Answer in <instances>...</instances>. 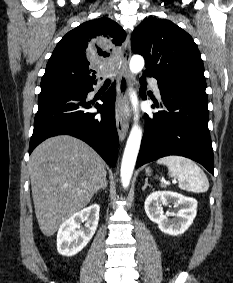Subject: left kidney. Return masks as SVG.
<instances>
[{
	"label": "left kidney",
	"instance_id": "1",
	"mask_svg": "<svg viewBox=\"0 0 233 283\" xmlns=\"http://www.w3.org/2000/svg\"><path fill=\"white\" fill-rule=\"evenodd\" d=\"M167 204L179 207L177 212L170 213L174 217L172 219L163 214L162 206ZM144 207L148 218L157 223L163 233L172 236L183 234L192 225L197 214V201L194 198L171 191L151 193L146 198Z\"/></svg>",
	"mask_w": 233,
	"mask_h": 283
}]
</instances>
